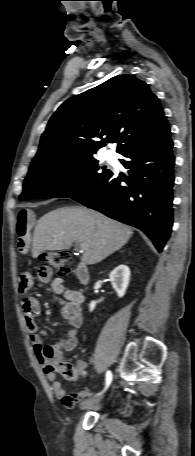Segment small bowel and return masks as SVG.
<instances>
[{
	"label": "small bowel",
	"instance_id": "1",
	"mask_svg": "<svg viewBox=\"0 0 195 456\" xmlns=\"http://www.w3.org/2000/svg\"><path fill=\"white\" fill-rule=\"evenodd\" d=\"M32 226L33 217L31 213L21 211L17 217L16 232L18 235V250L22 254H26L29 250ZM37 279L41 283H50L51 289L60 305L61 315L68 322L69 329L64 338L55 341L52 345H43L46 332L39 331L36 324V317L41 312L40 303L35 297L27 296L33 285V278L31 273L24 272L19 277L18 290L21 295H24L21 308L25 318L26 329L38 362L45 366L47 379L51 383L55 397L66 408H73L76 403L88 395V389L81 388L72 394H67L55 373L48 371L47 367L61 361L64 352L72 351L76 348L78 344V329L83 323L81 305L84 297L81 292L66 288L62 278L53 277L52 270L48 266L38 268ZM78 367L84 375L87 374V364L84 361H78Z\"/></svg>",
	"mask_w": 195,
	"mask_h": 456
}]
</instances>
